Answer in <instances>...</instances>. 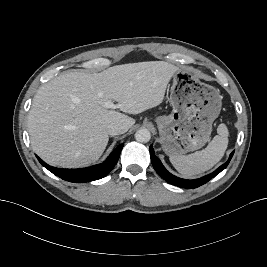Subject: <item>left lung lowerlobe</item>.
Returning a JSON list of instances; mask_svg holds the SVG:
<instances>
[{
    "label": "left lung lower lobe",
    "mask_w": 267,
    "mask_h": 267,
    "mask_svg": "<svg viewBox=\"0 0 267 267\" xmlns=\"http://www.w3.org/2000/svg\"><path fill=\"white\" fill-rule=\"evenodd\" d=\"M149 150H150L152 165H153L154 169L156 170V172L159 174V176L162 177L164 180H166L168 183H170L172 185L186 188V189L197 188V187L207 183L208 181H210L213 177H215L217 174H219L223 169H225L227 167V165L229 164V162H230V160L234 154V151H233L230 154V157L227 160V162L224 163L223 165H221L219 168H217L213 173L206 175L204 177H201L199 179L187 180V179H181V178L176 177V176L172 175L171 173H169L165 169L163 164L161 163L160 159L155 155L154 150L152 148V145L149 147Z\"/></svg>",
    "instance_id": "obj_1"
}]
</instances>
